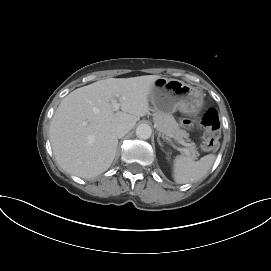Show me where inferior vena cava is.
<instances>
[{
  "mask_svg": "<svg viewBox=\"0 0 271 271\" xmlns=\"http://www.w3.org/2000/svg\"><path fill=\"white\" fill-rule=\"evenodd\" d=\"M132 129V125L128 123H122L119 124L116 128V136L118 138H122L124 135H126L130 130Z\"/></svg>",
  "mask_w": 271,
  "mask_h": 271,
  "instance_id": "obj_1",
  "label": "inferior vena cava"
}]
</instances>
